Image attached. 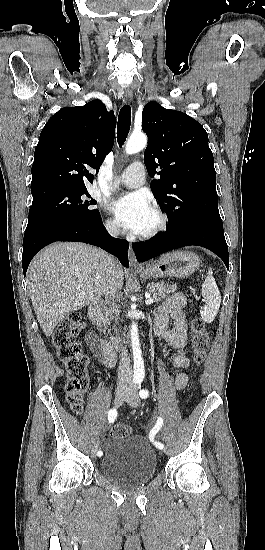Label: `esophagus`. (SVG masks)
Returning a JSON list of instances; mask_svg holds the SVG:
<instances>
[{
  "instance_id": "34e87169",
  "label": "esophagus",
  "mask_w": 265,
  "mask_h": 550,
  "mask_svg": "<svg viewBox=\"0 0 265 550\" xmlns=\"http://www.w3.org/2000/svg\"><path fill=\"white\" fill-rule=\"evenodd\" d=\"M133 99V93L132 91H129V90H126L124 92V101L129 103L131 102ZM128 254H129V263H130V267L133 268V269H138L140 268V264L138 263L137 259H136V256H135V253L133 251V249L130 247L129 248V251H128Z\"/></svg>"
}]
</instances>
